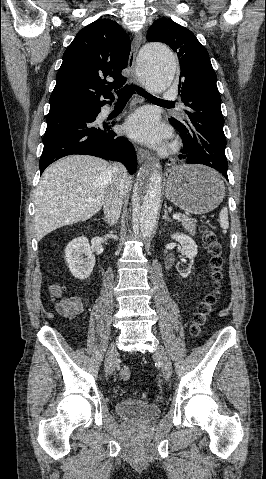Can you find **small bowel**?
Segmentation results:
<instances>
[{"mask_svg": "<svg viewBox=\"0 0 266 479\" xmlns=\"http://www.w3.org/2000/svg\"><path fill=\"white\" fill-rule=\"evenodd\" d=\"M50 290L55 299V308L61 315L73 319L84 313L88 305L86 299L79 296H64L62 288L58 284L51 285Z\"/></svg>", "mask_w": 266, "mask_h": 479, "instance_id": "c3829d8e", "label": "small bowel"}]
</instances>
